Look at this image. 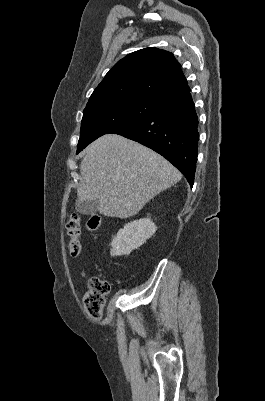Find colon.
I'll use <instances>...</instances> for the list:
<instances>
[{
	"label": "colon",
	"mask_w": 265,
	"mask_h": 401,
	"mask_svg": "<svg viewBox=\"0 0 265 401\" xmlns=\"http://www.w3.org/2000/svg\"><path fill=\"white\" fill-rule=\"evenodd\" d=\"M101 217L98 214H92L87 220V228L95 231L100 227ZM67 234L70 237L69 252L71 256L76 257L81 251L80 234L81 220L78 214H72L66 223ZM111 285L108 281L98 277L89 280L88 290L83 297V304L88 317L97 321L101 318L105 300L109 294Z\"/></svg>",
	"instance_id": "5ec220e1"
}]
</instances>
